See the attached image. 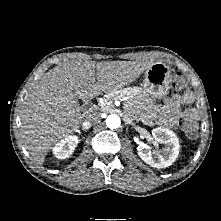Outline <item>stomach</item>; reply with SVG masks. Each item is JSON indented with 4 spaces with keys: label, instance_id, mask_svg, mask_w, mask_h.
Segmentation results:
<instances>
[{
    "label": "stomach",
    "instance_id": "0dacf381",
    "mask_svg": "<svg viewBox=\"0 0 221 221\" xmlns=\"http://www.w3.org/2000/svg\"><path fill=\"white\" fill-rule=\"evenodd\" d=\"M171 81L170 67L162 62H156L145 71L143 82L137 91L154 101H160L167 96Z\"/></svg>",
    "mask_w": 221,
    "mask_h": 221
}]
</instances>
